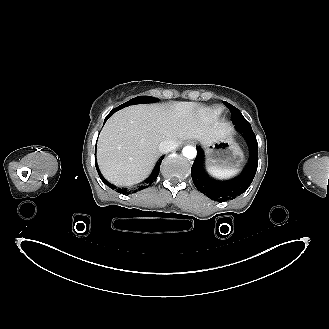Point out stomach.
<instances>
[{
  "mask_svg": "<svg viewBox=\"0 0 329 329\" xmlns=\"http://www.w3.org/2000/svg\"><path fill=\"white\" fill-rule=\"evenodd\" d=\"M206 164L209 168L238 169L245 160L238 144L230 135L224 139L205 145Z\"/></svg>",
  "mask_w": 329,
  "mask_h": 329,
  "instance_id": "0dacf381",
  "label": "stomach"
}]
</instances>
